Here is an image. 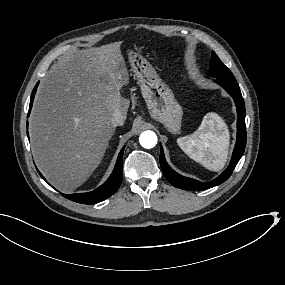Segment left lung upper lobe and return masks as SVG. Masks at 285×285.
<instances>
[{
  "instance_id": "obj_1",
  "label": "left lung upper lobe",
  "mask_w": 285,
  "mask_h": 285,
  "mask_svg": "<svg viewBox=\"0 0 285 285\" xmlns=\"http://www.w3.org/2000/svg\"><path fill=\"white\" fill-rule=\"evenodd\" d=\"M209 73L216 79L236 80L232 72L221 62L215 52H212Z\"/></svg>"
}]
</instances>
